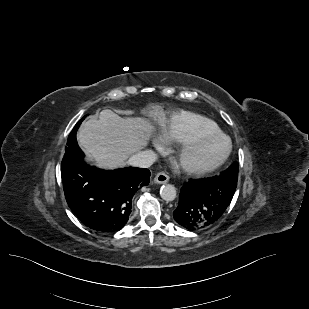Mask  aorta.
<instances>
[{
    "label": "aorta",
    "mask_w": 309,
    "mask_h": 309,
    "mask_svg": "<svg viewBox=\"0 0 309 309\" xmlns=\"http://www.w3.org/2000/svg\"><path fill=\"white\" fill-rule=\"evenodd\" d=\"M160 196L163 200L169 202L176 198V189L171 184H165L160 189Z\"/></svg>",
    "instance_id": "762f6f07"
}]
</instances>
